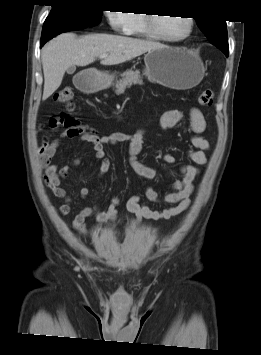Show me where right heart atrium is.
Here are the masks:
<instances>
[{
  "instance_id": "d8ad5b80",
  "label": "right heart atrium",
  "mask_w": 261,
  "mask_h": 355,
  "mask_svg": "<svg viewBox=\"0 0 261 355\" xmlns=\"http://www.w3.org/2000/svg\"><path fill=\"white\" fill-rule=\"evenodd\" d=\"M112 29L118 33L127 34L132 23V14L127 10H109L106 13Z\"/></svg>"
}]
</instances>
